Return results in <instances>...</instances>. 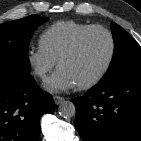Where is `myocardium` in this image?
<instances>
[{
	"label": "myocardium",
	"mask_w": 141,
	"mask_h": 141,
	"mask_svg": "<svg viewBox=\"0 0 141 141\" xmlns=\"http://www.w3.org/2000/svg\"><path fill=\"white\" fill-rule=\"evenodd\" d=\"M93 31H102L108 36L109 42H110V51H109L107 60L104 66L101 68V70L90 80L77 84L76 86L79 89H89V88L94 87L95 85L100 83L103 80V78L106 76V74L108 73L113 63L115 52H116V41H115L113 33L104 26L92 25L88 27L87 29L83 30L81 33H79L57 60V64L58 66H60L62 61H64L65 59H67L68 57H70L77 51V49L79 48L84 38Z\"/></svg>",
	"instance_id": "obj_1"
}]
</instances>
